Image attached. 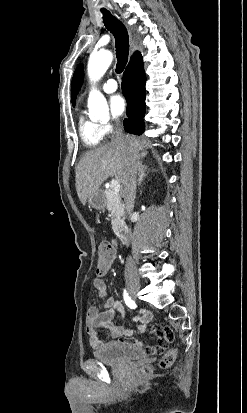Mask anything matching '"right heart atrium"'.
I'll list each match as a JSON object with an SVG mask.
<instances>
[{
    "label": "right heart atrium",
    "mask_w": 247,
    "mask_h": 413,
    "mask_svg": "<svg viewBox=\"0 0 247 413\" xmlns=\"http://www.w3.org/2000/svg\"><path fill=\"white\" fill-rule=\"evenodd\" d=\"M98 128L101 129L104 135L110 134L112 132V127L110 125H101L98 126Z\"/></svg>",
    "instance_id": "right-heart-atrium-1"
}]
</instances>
